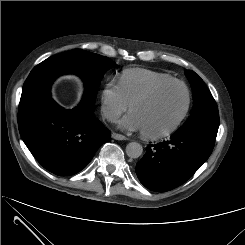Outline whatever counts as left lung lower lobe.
<instances>
[{
	"label": "left lung lower lobe",
	"instance_id": "1",
	"mask_svg": "<svg viewBox=\"0 0 245 245\" xmlns=\"http://www.w3.org/2000/svg\"><path fill=\"white\" fill-rule=\"evenodd\" d=\"M215 138L202 131L175 132L169 141L149 145L136 165L140 182L156 192L180 186L209 158Z\"/></svg>",
	"mask_w": 245,
	"mask_h": 245
}]
</instances>
